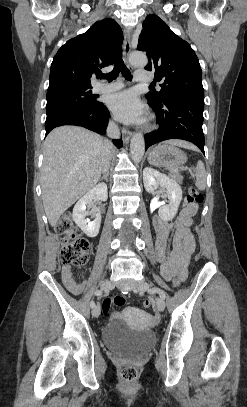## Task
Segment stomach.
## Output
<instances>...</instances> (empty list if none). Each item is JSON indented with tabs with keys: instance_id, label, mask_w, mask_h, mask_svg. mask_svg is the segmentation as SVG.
<instances>
[{
	"instance_id": "stomach-1",
	"label": "stomach",
	"mask_w": 247,
	"mask_h": 407,
	"mask_svg": "<svg viewBox=\"0 0 247 407\" xmlns=\"http://www.w3.org/2000/svg\"><path fill=\"white\" fill-rule=\"evenodd\" d=\"M148 161L157 167L178 168L187 162V156L178 147L162 143L150 151Z\"/></svg>"
}]
</instances>
